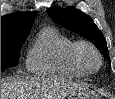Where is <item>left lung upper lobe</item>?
<instances>
[{
    "instance_id": "left-lung-upper-lobe-1",
    "label": "left lung upper lobe",
    "mask_w": 115,
    "mask_h": 99,
    "mask_svg": "<svg viewBox=\"0 0 115 99\" xmlns=\"http://www.w3.org/2000/svg\"><path fill=\"white\" fill-rule=\"evenodd\" d=\"M47 13L63 27L89 39L100 50L105 59L110 60L106 40L90 16L73 7L49 8Z\"/></svg>"
}]
</instances>
